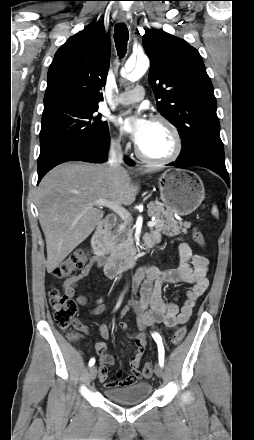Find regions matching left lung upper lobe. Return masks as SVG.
Here are the masks:
<instances>
[{
    "label": "left lung upper lobe",
    "instance_id": "left-lung-upper-lobe-1",
    "mask_svg": "<svg viewBox=\"0 0 254 440\" xmlns=\"http://www.w3.org/2000/svg\"><path fill=\"white\" fill-rule=\"evenodd\" d=\"M143 47L150 58L149 83L162 116L178 128L181 157L203 144H223L213 85L199 52L185 40L148 30Z\"/></svg>",
    "mask_w": 254,
    "mask_h": 440
}]
</instances>
